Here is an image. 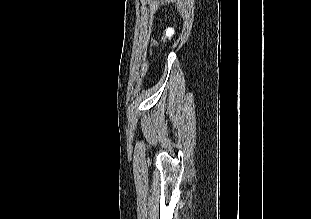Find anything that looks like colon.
Segmentation results:
<instances>
[{"label":"colon","instance_id":"obj_1","mask_svg":"<svg viewBox=\"0 0 311 219\" xmlns=\"http://www.w3.org/2000/svg\"><path fill=\"white\" fill-rule=\"evenodd\" d=\"M169 35H170L169 33L166 34L167 37H168Z\"/></svg>","mask_w":311,"mask_h":219}]
</instances>
